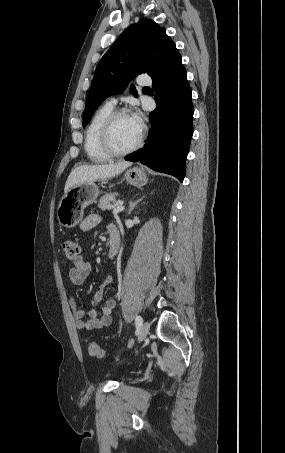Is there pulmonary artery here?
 <instances>
[{"mask_svg": "<svg viewBox=\"0 0 285 453\" xmlns=\"http://www.w3.org/2000/svg\"><path fill=\"white\" fill-rule=\"evenodd\" d=\"M137 82L140 85H148L151 83V80L147 75L142 74L137 77ZM116 101V98L114 96H111L108 98L107 103L114 106L116 104Z\"/></svg>", "mask_w": 285, "mask_h": 453, "instance_id": "1", "label": "pulmonary artery"}]
</instances>
